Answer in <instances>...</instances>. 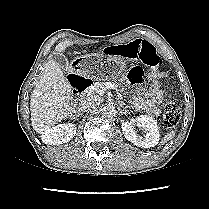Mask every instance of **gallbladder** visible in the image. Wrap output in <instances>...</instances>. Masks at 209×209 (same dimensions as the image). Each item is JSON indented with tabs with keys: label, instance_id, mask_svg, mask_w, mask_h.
<instances>
[{
	"label": "gallbladder",
	"instance_id": "bac80fb5",
	"mask_svg": "<svg viewBox=\"0 0 209 209\" xmlns=\"http://www.w3.org/2000/svg\"><path fill=\"white\" fill-rule=\"evenodd\" d=\"M52 59H54L62 68L68 67V61L62 54H54L52 55Z\"/></svg>",
	"mask_w": 209,
	"mask_h": 209
}]
</instances>
